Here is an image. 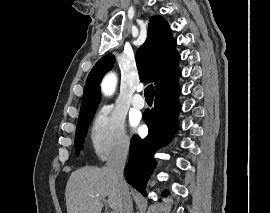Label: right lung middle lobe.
I'll return each mask as SVG.
<instances>
[{"label": "right lung middle lobe", "instance_id": "right-lung-middle-lobe-1", "mask_svg": "<svg viewBox=\"0 0 270 213\" xmlns=\"http://www.w3.org/2000/svg\"><path fill=\"white\" fill-rule=\"evenodd\" d=\"M93 116H94V113H91L89 115H86L78 119L77 131L75 134V148H76L77 153H78V149L82 148L83 146L84 136L87 130V126L90 124Z\"/></svg>", "mask_w": 270, "mask_h": 213}]
</instances>
